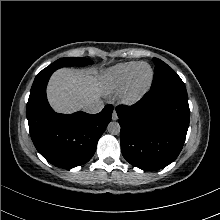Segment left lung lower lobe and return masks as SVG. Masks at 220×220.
<instances>
[{"mask_svg":"<svg viewBox=\"0 0 220 220\" xmlns=\"http://www.w3.org/2000/svg\"><path fill=\"white\" fill-rule=\"evenodd\" d=\"M116 112L121 151L130 164L155 171L178 157L189 126L188 97L150 90L132 106H117Z\"/></svg>","mask_w":220,"mask_h":220,"instance_id":"1","label":"left lung lower lobe"}]
</instances>
